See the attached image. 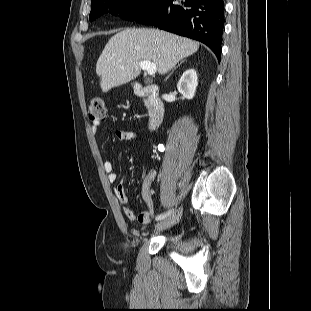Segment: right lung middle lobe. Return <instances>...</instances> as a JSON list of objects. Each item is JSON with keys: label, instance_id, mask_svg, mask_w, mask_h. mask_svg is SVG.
<instances>
[{"label": "right lung middle lobe", "instance_id": "1", "mask_svg": "<svg viewBox=\"0 0 311 311\" xmlns=\"http://www.w3.org/2000/svg\"><path fill=\"white\" fill-rule=\"evenodd\" d=\"M160 0H95L91 2L89 20L93 21L110 10L122 19L133 21L144 15Z\"/></svg>", "mask_w": 311, "mask_h": 311}]
</instances>
